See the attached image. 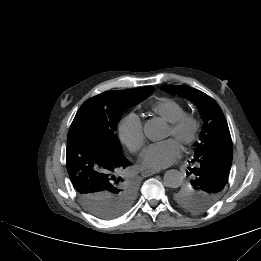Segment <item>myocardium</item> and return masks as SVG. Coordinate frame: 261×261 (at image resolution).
I'll return each instance as SVG.
<instances>
[{
  "label": "myocardium",
  "mask_w": 261,
  "mask_h": 261,
  "mask_svg": "<svg viewBox=\"0 0 261 261\" xmlns=\"http://www.w3.org/2000/svg\"><path fill=\"white\" fill-rule=\"evenodd\" d=\"M172 131L180 137L185 145H192L199 136L201 129L200 118L192 112H184L174 121L170 122Z\"/></svg>",
  "instance_id": "f54148a6"
}]
</instances>
